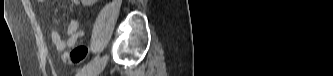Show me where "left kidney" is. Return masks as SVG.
Returning a JSON list of instances; mask_svg holds the SVG:
<instances>
[{"label": "left kidney", "mask_w": 333, "mask_h": 76, "mask_svg": "<svg viewBox=\"0 0 333 76\" xmlns=\"http://www.w3.org/2000/svg\"><path fill=\"white\" fill-rule=\"evenodd\" d=\"M85 2H86V1H85ZM90 2H92V3H93V2H96V1H95V0H91Z\"/></svg>", "instance_id": "5707ae66"}]
</instances>
